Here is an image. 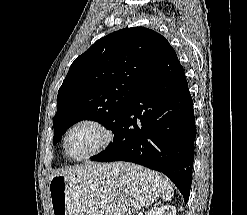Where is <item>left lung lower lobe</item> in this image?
<instances>
[{
  "mask_svg": "<svg viewBox=\"0 0 247 215\" xmlns=\"http://www.w3.org/2000/svg\"><path fill=\"white\" fill-rule=\"evenodd\" d=\"M195 117L188 83L170 46L138 88L114 132L92 161H127L164 173L187 203L192 183Z\"/></svg>",
  "mask_w": 247,
  "mask_h": 215,
  "instance_id": "1",
  "label": "left lung lower lobe"
}]
</instances>
